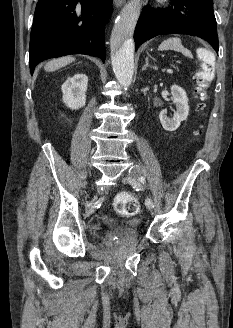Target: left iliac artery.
Wrapping results in <instances>:
<instances>
[{
    "mask_svg": "<svg viewBox=\"0 0 233 328\" xmlns=\"http://www.w3.org/2000/svg\"><path fill=\"white\" fill-rule=\"evenodd\" d=\"M144 182H145L144 177H140L139 178V181H137L133 186L135 188H137V189H141L142 190L143 189ZM145 202H146V205L147 206L154 207L153 202H152V200L150 198H147Z\"/></svg>",
    "mask_w": 233,
    "mask_h": 328,
    "instance_id": "obj_1",
    "label": "left iliac artery"
}]
</instances>
